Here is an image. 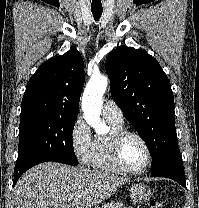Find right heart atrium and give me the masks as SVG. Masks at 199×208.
I'll return each instance as SVG.
<instances>
[{
  "label": "right heart atrium",
  "mask_w": 199,
  "mask_h": 208,
  "mask_svg": "<svg viewBox=\"0 0 199 208\" xmlns=\"http://www.w3.org/2000/svg\"><path fill=\"white\" fill-rule=\"evenodd\" d=\"M70 142L80 164L89 165L94 151V140L90 127L82 116H78L71 126Z\"/></svg>",
  "instance_id": "obj_1"
}]
</instances>
